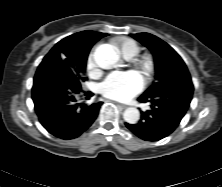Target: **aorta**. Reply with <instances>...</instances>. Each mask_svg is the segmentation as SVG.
<instances>
[{
    "instance_id": "aorta-1",
    "label": "aorta",
    "mask_w": 222,
    "mask_h": 187,
    "mask_svg": "<svg viewBox=\"0 0 222 187\" xmlns=\"http://www.w3.org/2000/svg\"><path fill=\"white\" fill-rule=\"evenodd\" d=\"M94 60L99 67L109 69L118 62L119 52L110 44H101L94 52ZM123 118L129 124H136L140 119V112L137 108L129 107L124 111Z\"/></svg>"
}]
</instances>
